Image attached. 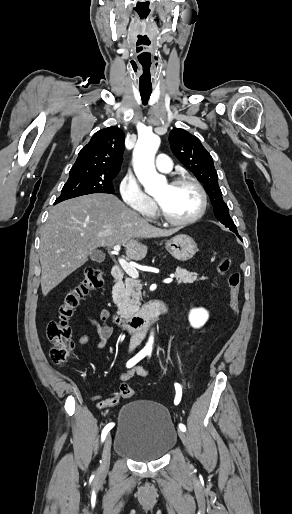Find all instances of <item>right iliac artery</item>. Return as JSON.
Instances as JSON below:
<instances>
[{
    "label": "right iliac artery",
    "mask_w": 292,
    "mask_h": 514,
    "mask_svg": "<svg viewBox=\"0 0 292 514\" xmlns=\"http://www.w3.org/2000/svg\"><path fill=\"white\" fill-rule=\"evenodd\" d=\"M147 351H140L137 355H135L133 358H131L127 363H126V367L127 368H131L133 367L137 362H139L141 359H143L146 355H147ZM114 427V423H109L107 424L104 429L102 430V435H101V441H104L105 438H106V435L108 434V432Z\"/></svg>",
    "instance_id": "obj_1"
}]
</instances>
